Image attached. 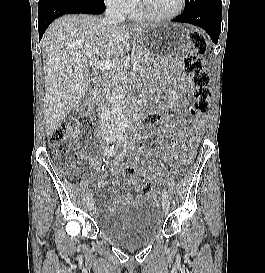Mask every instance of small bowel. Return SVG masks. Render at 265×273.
Wrapping results in <instances>:
<instances>
[{"instance_id":"1","label":"small bowel","mask_w":265,"mask_h":273,"mask_svg":"<svg viewBox=\"0 0 265 273\" xmlns=\"http://www.w3.org/2000/svg\"><path fill=\"white\" fill-rule=\"evenodd\" d=\"M174 105L173 102H169L165 107L166 108H172ZM150 113H156V112H150ZM157 114V113H156ZM161 117H162V122L160 123V125H164V121H166L168 118H169V114L167 112H163L161 114ZM77 154L79 157H82V158H86V159H89L90 162H91V165L95 168V169H100L101 167V163L99 160L91 157L85 150H78L77 151ZM109 172L111 175H118L120 173V167L117 163H112L111 166H110V169H109ZM143 175L142 174H139V175H134L130 182H131V185L133 186V190H134V197H118L117 201L118 203L120 204H126L130 201H133V200H142L144 199V194L141 192V184L143 182ZM100 183L101 184H105L106 183V177H102L101 180H100ZM114 206H111L110 207V210L113 209ZM97 211L99 210L98 208L96 209Z\"/></svg>"}]
</instances>
